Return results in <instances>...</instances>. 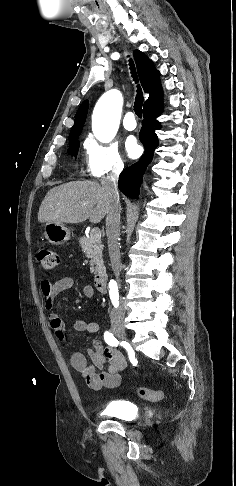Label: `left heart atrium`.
Segmentation results:
<instances>
[{"label":"left heart atrium","instance_id":"left-heart-atrium-1","mask_svg":"<svg viewBox=\"0 0 236 486\" xmlns=\"http://www.w3.org/2000/svg\"><path fill=\"white\" fill-rule=\"evenodd\" d=\"M126 150L131 158H136L140 154V146L137 144L135 139H129L126 143Z\"/></svg>","mask_w":236,"mask_h":486}]
</instances>
